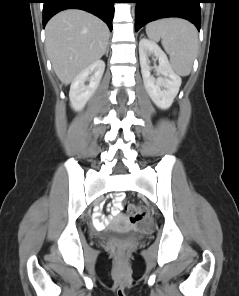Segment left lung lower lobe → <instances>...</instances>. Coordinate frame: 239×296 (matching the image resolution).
<instances>
[{
  "label": "left lung lower lobe",
  "instance_id": "0a47b994",
  "mask_svg": "<svg viewBox=\"0 0 239 296\" xmlns=\"http://www.w3.org/2000/svg\"><path fill=\"white\" fill-rule=\"evenodd\" d=\"M136 3L135 30L159 18L180 17L192 22L200 31L201 0H131Z\"/></svg>",
  "mask_w": 239,
  "mask_h": 296
}]
</instances>
